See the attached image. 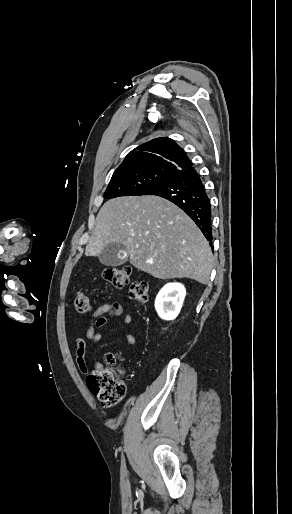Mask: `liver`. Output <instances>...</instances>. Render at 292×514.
Segmentation results:
<instances>
[{"label": "liver", "mask_w": 292, "mask_h": 514, "mask_svg": "<svg viewBox=\"0 0 292 514\" xmlns=\"http://www.w3.org/2000/svg\"><path fill=\"white\" fill-rule=\"evenodd\" d=\"M120 242L129 262L154 278H191L209 284L213 254L201 230L178 206L159 196L108 200L96 218L85 256Z\"/></svg>", "instance_id": "liver-1"}]
</instances>
